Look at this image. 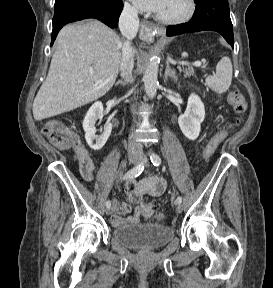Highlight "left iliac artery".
<instances>
[{
	"mask_svg": "<svg viewBox=\"0 0 273 288\" xmlns=\"http://www.w3.org/2000/svg\"><path fill=\"white\" fill-rule=\"evenodd\" d=\"M150 159H151V162L153 163L154 166H159L161 164V158L159 157V155H157L155 153H152ZM176 202L178 204H181L182 203V197L178 196L176 199Z\"/></svg>",
	"mask_w": 273,
	"mask_h": 288,
	"instance_id": "left-iliac-artery-1",
	"label": "left iliac artery"
}]
</instances>
